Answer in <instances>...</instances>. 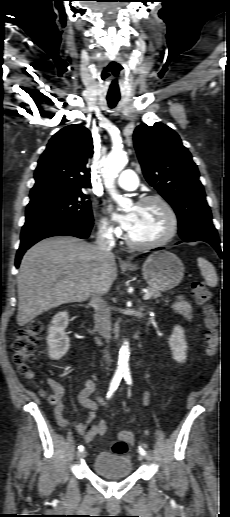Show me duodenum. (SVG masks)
<instances>
[{"mask_svg": "<svg viewBox=\"0 0 230 517\" xmlns=\"http://www.w3.org/2000/svg\"><path fill=\"white\" fill-rule=\"evenodd\" d=\"M95 338H96L97 341H100V337L98 335H96Z\"/></svg>", "mask_w": 230, "mask_h": 517, "instance_id": "obj_1", "label": "duodenum"}]
</instances>
